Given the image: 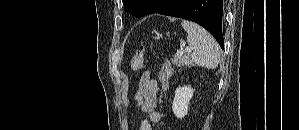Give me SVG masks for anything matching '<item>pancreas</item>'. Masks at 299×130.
Returning <instances> with one entry per match:
<instances>
[{"label": "pancreas", "mask_w": 299, "mask_h": 130, "mask_svg": "<svg viewBox=\"0 0 299 130\" xmlns=\"http://www.w3.org/2000/svg\"><path fill=\"white\" fill-rule=\"evenodd\" d=\"M172 63L175 66H190L192 65V60L191 57L189 55H181V56H174V58L172 59Z\"/></svg>", "instance_id": "cf45deb5"}]
</instances>
